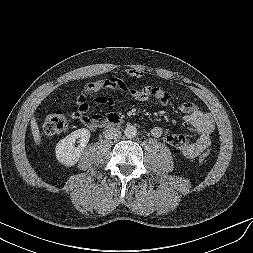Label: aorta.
<instances>
[{"instance_id":"aorta-1","label":"aorta","mask_w":253,"mask_h":253,"mask_svg":"<svg viewBox=\"0 0 253 253\" xmlns=\"http://www.w3.org/2000/svg\"><path fill=\"white\" fill-rule=\"evenodd\" d=\"M124 134L128 139L135 138L137 135V128L134 125H127Z\"/></svg>"}]
</instances>
